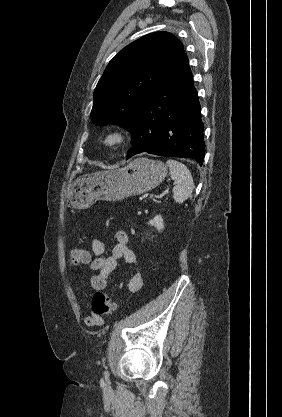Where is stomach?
Returning a JSON list of instances; mask_svg holds the SVG:
<instances>
[{
    "instance_id": "1",
    "label": "stomach",
    "mask_w": 282,
    "mask_h": 417,
    "mask_svg": "<svg viewBox=\"0 0 282 417\" xmlns=\"http://www.w3.org/2000/svg\"><path fill=\"white\" fill-rule=\"evenodd\" d=\"M167 174L161 160L139 156L124 168H109L85 174L73 184L70 204L73 209H88L95 200H122L143 194L158 186Z\"/></svg>"
}]
</instances>
